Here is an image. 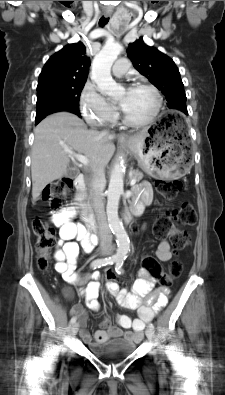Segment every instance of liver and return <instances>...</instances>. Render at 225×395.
<instances>
[{
	"label": "liver",
	"instance_id": "6515ba94",
	"mask_svg": "<svg viewBox=\"0 0 225 395\" xmlns=\"http://www.w3.org/2000/svg\"><path fill=\"white\" fill-rule=\"evenodd\" d=\"M31 154L32 198L37 201L47 184L67 173L70 150L84 154L89 167H105L115 152V135L88 130L83 120L69 112L43 119L34 129Z\"/></svg>",
	"mask_w": 225,
	"mask_h": 395
}]
</instances>
